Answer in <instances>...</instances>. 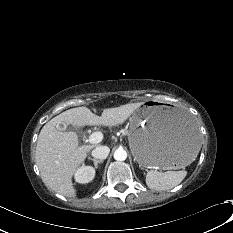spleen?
Returning a JSON list of instances; mask_svg holds the SVG:
<instances>
[{"label": "spleen", "mask_w": 233, "mask_h": 233, "mask_svg": "<svg viewBox=\"0 0 233 233\" xmlns=\"http://www.w3.org/2000/svg\"><path fill=\"white\" fill-rule=\"evenodd\" d=\"M185 176L184 170L167 172L150 170L146 175V184L150 189L156 191L169 190L180 184Z\"/></svg>", "instance_id": "spleen-1"}]
</instances>
